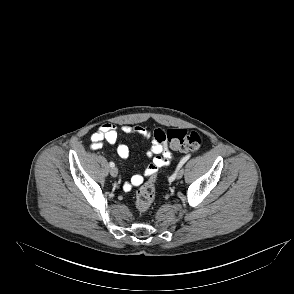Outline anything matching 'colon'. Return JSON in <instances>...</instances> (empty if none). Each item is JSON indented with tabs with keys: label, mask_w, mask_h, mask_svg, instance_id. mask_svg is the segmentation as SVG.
I'll return each mask as SVG.
<instances>
[{
	"label": "colon",
	"mask_w": 294,
	"mask_h": 294,
	"mask_svg": "<svg viewBox=\"0 0 294 294\" xmlns=\"http://www.w3.org/2000/svg\"><path fill=\"white\" fill-rule=\"evenodd\" d=\"M155 138L162 143H168L171 148L180 151H197L202 145V137L196 131L186 129H157ZM155 175L143 184L136 194V207L140 213H146L155 199Z\"/></svg>",
	"instance_id": "colon-1"
}]
</instances>
